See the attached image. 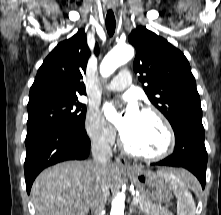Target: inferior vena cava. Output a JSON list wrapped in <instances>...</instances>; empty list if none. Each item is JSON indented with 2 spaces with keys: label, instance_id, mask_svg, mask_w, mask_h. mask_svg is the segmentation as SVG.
<instances>
[{
  "label": "inferior vena cava",
  "instance_id": "1",
  "mask_svg": "<svg viewBox=\"0 0 221 215\" xmlns=\"http://www.w3.org/2000/svg\"><path fill=\"white\" fill-rule=\"evenodd\" d=\"M91 152L96 188L91 199L90 208L93 215H101L109 196V188L105 182V176L107 161L112 157V150L108 140L105 137H100L93 140Z\"/></svg>",
  "mask_w": 221,
  "mask_h": 215
}]
</instances>
